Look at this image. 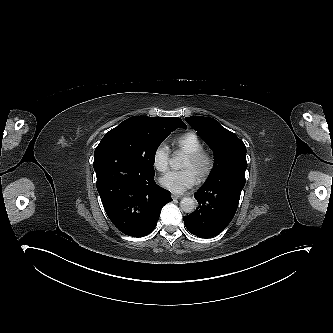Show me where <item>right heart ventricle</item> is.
I'll return each instance as SVG.
<instances>
[{
    "instance_id": "e07e8e85",
    "label": "right heart ventricle",
    "mask_w": 333,
    "mask_h": 333,
    "mask_svg": "<svg viewBox=\"0 0 333 333\" xmlns=\"http://www.w3.org/2000/svg\"><path fill=\"white\" fill-rule=\"evenodd\" d=\"M199 147L194 134L189 133L181 137L178 141L177 153L183 157L195 151Z\"/></svg>"
}]
</instances>
